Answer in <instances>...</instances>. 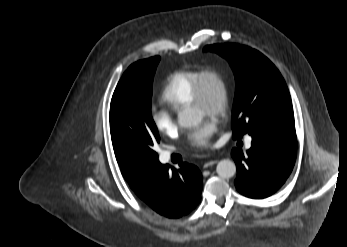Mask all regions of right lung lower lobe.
Listing matches in <instances>:
<instances>
[{
	"label": "right lung lower lobe",
	"instance_id": "right-lung-lower-lobe-1",
	"mask_svg": "<svg viewBox=\"0 0 347 247\" xmlns=\"http://www.w3.org/2000/svg\"><path fill=\"white\" fill-rule=\"evenodd\" d=\"M179 169L158 163L148 189L138 195L157 213L178 218L187 215L201 200L202 175L199 169L181 163Z\"/></svg>",
	"mask_w": 347,
	"mask_h": 247
}]
</instances>
